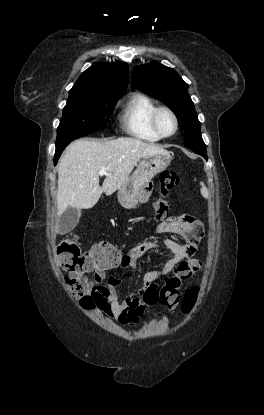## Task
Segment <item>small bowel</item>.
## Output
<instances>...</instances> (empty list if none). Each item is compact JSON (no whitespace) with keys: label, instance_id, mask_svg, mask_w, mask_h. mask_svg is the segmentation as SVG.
I'll use <instances>...</instances> for the list:
<instances>
[{"label":"small bowel","instance_id":"1","mask_svg":"<svg viewBox=\"0 0 264 415\" xmlns=\"http://www.w3.org/2000/svg\"><path fill=\"white\" fill-rule=\"evenodd\" d=\"M160 229L182 236L185 242L179 243L172 239H164L163 245L172 254V257L160 268L146 272L142 277L143 285L133 291L125 301H120L116 291L120 280L106 276L108 268L86 269L78 276L85 293L117 323L127 324L130 327L137 324L147 310L143 302L147 287L155 284L164 275L171 273L183 260L193 257L197 250V244L204 234L203 226L199 221L192 217L179 215H173L165 220L160 225ZM157 249H159V245L153 241L137 244L124 254L120 266L125 269H136L140 257Z\"/></svg>","mask_w":264,"mask_h":415}]
</instances>
